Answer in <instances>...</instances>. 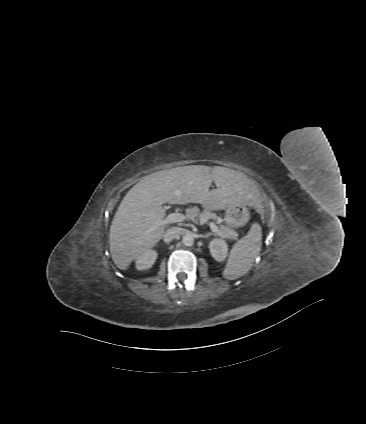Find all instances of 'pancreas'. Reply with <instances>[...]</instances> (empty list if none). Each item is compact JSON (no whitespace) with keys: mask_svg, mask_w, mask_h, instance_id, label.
Returning a JSON list of instances; mask_svg holds the SVG:
<instances>
[{"mask_svg":"<svg viewBox=\"0 0 366 424\" xmlns=\"http://www.w3.org/2000/svg\"><path fill=\"white\" fill-rule=\"evenodd\" d=\"M192 219L201 218L204 220L217 219V216L209 210H204L202 213L197 208H192L189 213ZM220 233L227 239H236L238 234L228 226L220 225Z\"/></svg>","mask_w":366,"mask_h":424,"instance_id":"cf45deb5","label":"pancreas"}]
</instances>
